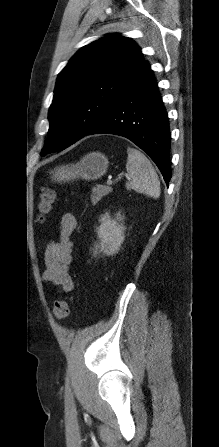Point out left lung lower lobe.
<instances>
[{"label":"left lung lower lobe","mask_w":219,"mask_h":447,"mask_svg":"<svg viewBox=\"0 0 219 447\" xmlns=\"http://www.w3.org/2000/svg\"><path fill=\"white\" fill-rule=\"evenodd\" d=\"M92 134L128 138L151 157L166 184L169 183V121L157 82L146 61L131 84L86 135Z\"/></svg>","instance_id":"1"}]
</instances>
